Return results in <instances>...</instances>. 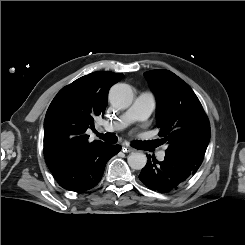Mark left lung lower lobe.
Segmentation results:
<instances>
[{
	"instance_id": "0a47b994",
	"label": "left lung lower lobe",
	"mask_w": 245,
	"mask_h": 245,
	"mask_svg": "<svg viewBox=\"0 0 245 245\" xmlns=\"http://www.w3.org/2000/svg\"><path fill=\"white\" fill-rule=\"evenodd\" d=\"M149 158L146 166L139 174L140 181L148 188L160 193H168L177 189L199 169L202 162L190 160L177 154L166 152L162 162L154 156Z\"/></svg>"
}]
</instances>
